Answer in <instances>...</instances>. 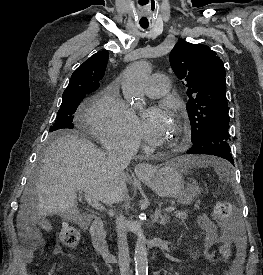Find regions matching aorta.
Returning a JSON list of instances; mask_svg holds the SVG:
<instances>
[{
    "label": "aorta",
    "instance_id": "aorta-1",
    "mask_svg": "<svg viewBox=\"0 0 263 275\" xmlns=\"http://www.w3.org/2000/svg\"><path fill=\"white\" fill-rule=\"evenodd\" d=\"M150 64L145 60L137 61L129 65L122 76V91L124 98L130 102L140 100L144 95V83L150 73ZM146 238L140 230L134 252L136 275L148 274V259Z\"/></svg>",
    "mask_w": 263,
    "mask_h": 275
}]
</instances>
